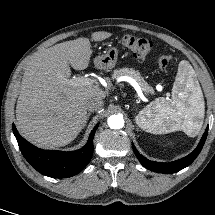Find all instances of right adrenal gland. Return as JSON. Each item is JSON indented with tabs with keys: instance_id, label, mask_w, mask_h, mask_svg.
I'll return each instance as SVG.
<instances>
[{
	"instance_id": "2a0ac1e0",
	"label": "right adrenal gland",
	"mask_w": 215,
	"mask_h": 215,
	"mask_svg": "<svg viewBox=\"0 0 215 215\" xmlns=\"http://www.w3.org/2000/svg\"><path fill=\"white\" fill-rule=\"evenodd\" d=\"M91 114L89 113V114H87V116H86V121H85V125H86V123H87V120L89 119V116H90Z\"/></svg>"
}]
</instances>
